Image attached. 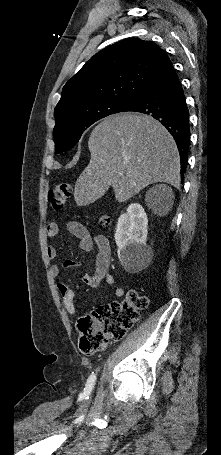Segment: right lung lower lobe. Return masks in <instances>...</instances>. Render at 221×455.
I'll return each mask as SVG.
<instances>
[{"label": "right lung lower lobe", "instance_id": "obj_1", "mask_svg": "<svg viewBox=\"0 0 221 455\" xmlns=\"http://www.w3.org/2000/svg\"><path fill=\"white\" fill-rule=\"evenodd\" d=\"M124 111L149 114L170 132L179 150L183 182L190 144L189 111L181 83L169 58Z\"/></svg>", "mask_w": 221, "mask_h": 455}]
</instances>
